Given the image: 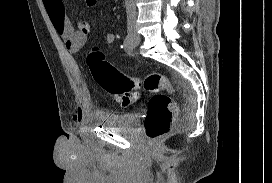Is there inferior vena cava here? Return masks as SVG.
Listing matches in <instances>:
<instances>
[{"instance_id":"inferior-vena-cava-1","label":"inferior vena cava","mask_w":272,"mask_h":183,"mask_svg":"<svg viewBox=\"0 0 272 183\" xmlns=\"http://www.w3.org/2000/svg\"><path fill=\"white\" fill-rule=\"evenodd\" d=\"M125 5L127 12V27L128 30H131L135 26L137 16L135 0H125Z\"/></svg>"}]
</instances>
